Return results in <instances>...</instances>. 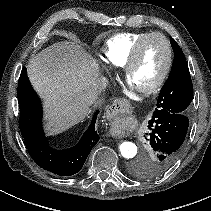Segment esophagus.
<instances>
[{"label": "esophagus", "mask_w": 211, "mask_h": 211, "mask_svg": "<svg viewBox=\"0 0 211 211\" xmlns=\"http://www.w3.org/2000/svg\"><path fill=\"white\" fill-rule=\"evenodd\" d=\"M123 106H125V102L122 101V100H118V101H116L115 103H113V104L110 106V108L116 109V108L123 107Z\"/></svg>", "instance_id": "esophagus-1"}]
</instances>
